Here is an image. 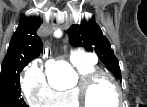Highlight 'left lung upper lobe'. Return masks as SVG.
I'll return each instance as SVG.
<instances>
[{"label":"left lung upper lobe","mask_w":147,"mask_h":107,"mask_svg":"<svg viewBox=\"0 0 147 107\" xmlns=\"http://www.w3.org/2000/svg\"><path fill=\"white\" fill-rule=\"evenodd\" d=\"M69 42L74 47H84L88 51H95L103 64L121 79L119 62L107 38L94 20L83 21L79 25H72L68 29Z\"/></svg>","instance_id":"5c2ea615"}]
</instances>
